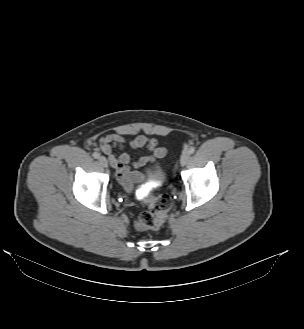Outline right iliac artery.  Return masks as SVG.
I'll list each match as a JSON object with an SVG mask.
<instances>
[{
    "label": "right iliac artery",
    "instance_id": "82829eb1",
    "mask_svg": "<svg viewBox=\"0 0 304 329\" xmlns=\"http://www.w3.org/2000/svg\"><path fill=\"white\" fill-rule=\"evenodd\" d=\"M93 157H94L95 159H98V158L100 157V155H99V153L94 152V153H93Z\"/></svg>",
    "mask_w": 304,
    "mask_h": 329
}]
</instances>
